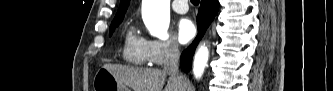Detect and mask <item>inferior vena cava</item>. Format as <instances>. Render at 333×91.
<instances>
[{"instance_id":"inferior-vena-cava-1","label":"inferior vena cava","mask_w":333,"mask_h":91,"mask_svg":"<svg viewBox=\"0 0 333 91\" xmlns=\"http://www.w3.org/2000/svg\"><path fill=\"white\" fill-rule=\"evenodd\" d=\"M179 58L180 52L177 42H172L167 49L166 59L163 65V71L173 79L180 80L179 76Z\"/></svg>"}]
</instances>
